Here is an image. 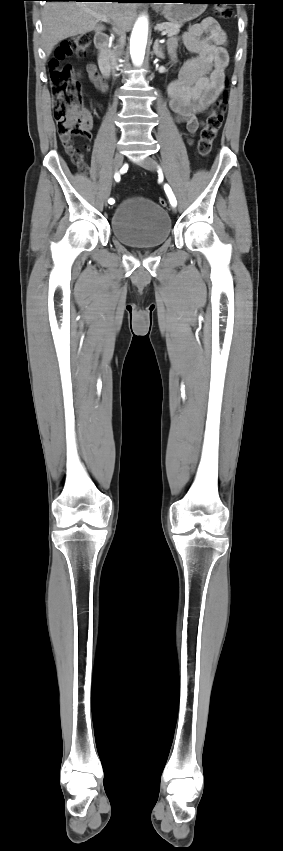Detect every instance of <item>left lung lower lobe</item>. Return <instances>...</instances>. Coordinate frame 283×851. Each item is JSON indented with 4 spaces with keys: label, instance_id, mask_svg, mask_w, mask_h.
Masks as SVG:
<instances>
[{
    "label": "left lung lower lobe",
    "instance_id": "0a47b994",
    "mask_svg": "<svg viewBox=\"0 0 283 851\" xmlns=\"http://www.w3.org/2000/svg\"><path fill=\"white\" fill-rule=\"evenodd\" d=\"M208 3H227V4H233V3H238V0H227V1H223V2L218 0V1H210V2H208Z\"/></svg>",
    "mask_w": 283,
    "mask_h": 851
}]
</instances>
